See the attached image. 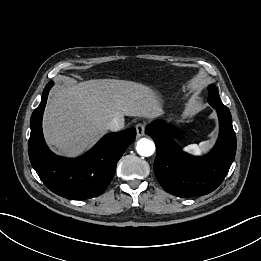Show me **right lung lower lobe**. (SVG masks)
<instances>
[{"mask_svg":"<svg viewBox=\"0 0 261 261\" xmlns=\"http://www.w3.org/2000/svg\"><path fill=\"white\" fill-rule=\"evenodd\" d=\"M52 85V81L46 85L41 103L31 116L28 143L30 162L43 183L57 195L72 200L96 197L111 182L118 160L135 140L136 129L105 135L79 158L56 156L46 146L42 133V115Z\"/></svg>","mask_w":261,"mask_h":261,"instance_id":"right-lung-lower-lobe-1","label":"right lung lower lobe"}]
</instances>
